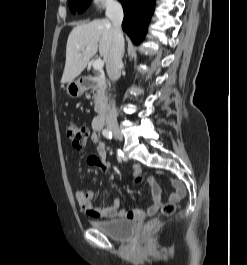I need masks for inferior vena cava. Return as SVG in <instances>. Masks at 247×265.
<instances>
[{"instance_id":"1","label":"inferior vena cava","mask_w":247,"mask_h":265,"mask_svg":"<svg viewBox=\"0 0 247 265\" xmlns=\"http://www.w3.org/2000/svg\"><path fill=\"white\" fill-rule=\"evenodd\" d=\"M106 16L113 24V40L106 61V70L110 78L117 80L121 75V68L123 66L124 37L121 29L123 20L122 5L117 1H111L106 9ZM106 123L108 126L117 124V114L114 104L107 115Z\"/></svg>"}]
</instances>
